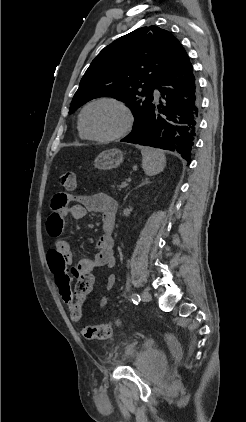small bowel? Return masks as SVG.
Segmentation results:
<instances>
[{"label": "small bowel", "instance_id": "obj_1", "mask_svg": "<svg viewBox=\"0 0 246 422\" xmlns=\"http://www.w3.org/2000/svg\"><path fill=\"white\" fill-rule=\"evenodd\" d=\"M71 202L73 203L71 204ZM88 211L101 213L102 234L96 242L97 251L94 257L81 259L72 266L71 271L74 277L85 273H93L100 267H113L115 265L113 231L117 211L116 201L104 193L84 196L56 194L52 200V211L47 220L48 234L51 237H58L62 232L65 218L70 217L74 220H80ZM54 249L65 257L68 265L73 264L74 254L68 241H57ZM115 284V275H109L106 281V288L110 290ZM106 303L107 298L102 297L100 306L103 307Z\"/></svg>", "mask_w": 246, "mask_h": 422}]
</instances>
